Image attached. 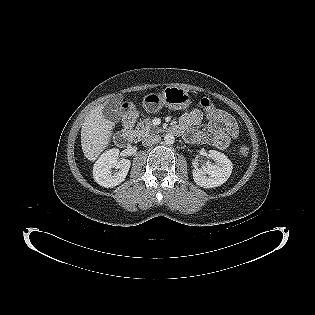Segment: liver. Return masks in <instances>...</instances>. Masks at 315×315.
I'll use <instances>...</instances> for the list:
<instances>
[{
    "label": "liver",
    "mask_w": 315,
    "mask_h": 315,
    "mask_svg": "<svg viewBox=\"0 0 315 315\" xmlns=\"http://www.w3.org/2000/svg\"><path fill=\"white\" fill-rule=\"evenodd\" d=\"M104 107L105 104L91 110L82 124L81 146L84 156L90 161H95L106 149L113 135L115 123L104 117Z\"/></svg>",
    "instance_id": "liver-1"
}]
</instances>
